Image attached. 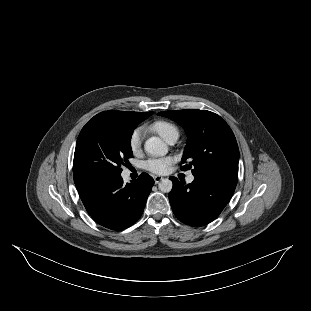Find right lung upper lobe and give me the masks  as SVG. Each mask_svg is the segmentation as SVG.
Returning a JSON list of instances; mask_svg holds the SVG:
<instances>
[{"label": "right lung upper lobe", "instance_id": "1", "mask_svg": "<svg viewBox=\"0 0 311 311\" xmlns=\"http://www.w3.org/2000/svg\"><path fill=\"white\" fill-rule=\"evenodd\" d=\"M104 113L107 114H112V115H116V116H124V117H136V116H143V115H147L150 112L147 113H138V112H130V111H116V110H110V111H105ZM153 114V113H152ZM75 185L79 184L80 182H83L82 180H74Z\"/></svg>", "mask_w": 311, "mask_h": 311}]
</instances>
